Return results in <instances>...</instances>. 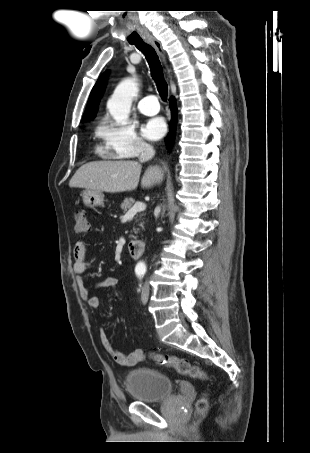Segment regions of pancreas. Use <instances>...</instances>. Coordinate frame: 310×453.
<instances>
[{
  "label": "pancreas",
  "mask_w": 310,
  "mask_h": 453,
  "mask_svg": "<svg viewBox=\"0 0 310 453\" xmlns=\"http://www.w3.org/2000/svg\"><path fill=\"white\" fill-rule=\"evenodd\" d=\"M135 203V199L133 198H126L122 204H121V209L126 212L128 209H130L132 207V205ZM138 231V230H137ZM137 231H135V233H137Z\"/></svg>",
  "instance_id": "pancreas-1"
}]
</instances>
